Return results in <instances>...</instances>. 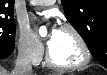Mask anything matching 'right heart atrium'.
Segmentation results:
<instances>
[{"mask_svg":"<svg viewBox=\"0 0 107 75\" xmlns=\"http://www.w3.org/2000/svg\"><path fill=\"white\" fill-rule=\"evenodd\" d=\"M19 55L31 63H38L43 56V47L28 27H20L17 37Z\"/></svg>","mask_w":107,"mask_h":75,"instance_id":"obj_1","label":"right heart atrium"}]
</instances>
